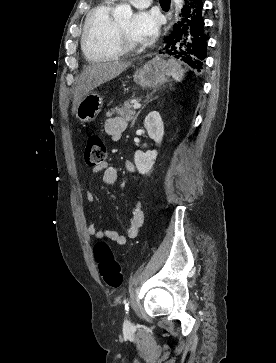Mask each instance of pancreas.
I'll use <instances>...</instances> for the list:
<instances>
[{"instance_id":"cf45deb5","label":"pancreas","mask_w":276,"mask_h":363,"mask_svg":"<svg viewBox=\"0 0 276 363\" xmlns=\"http://www.w3.org/2000/svg\"><path fill=\"white\" fill-rule=\"evenodd\" d=\"M113 114H118L126 121H133L135 119V111L132 110V104L130 102H125L123 105L108 111L106 116L110 117Z\"/></svg>"}]
</instances>
